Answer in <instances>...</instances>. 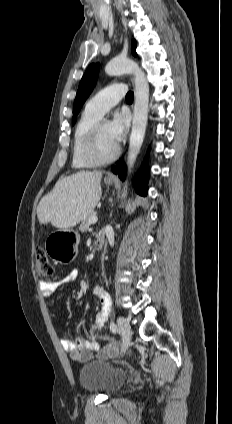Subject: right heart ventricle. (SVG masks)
Wrapping results in <instances>:
<instances>
[{
	"instance_id": "e07e8e85",
	"label": "right heart ventricle",
	"mask_w": 232,
	"mask_h": 424,
	"mask_svg": "<svg viewBox=\"0 0 232 424\" xmlns=\"http://www.w3.org/2000/svg\"><path fill=\"white\" fill-rule=\"evenodd\" d=\"M101 116L88 108L81 114L73 133L72 142V167L75 169H86L93 167L83 156V145L92 126Z\"/></svg>"
}]
</instances>
